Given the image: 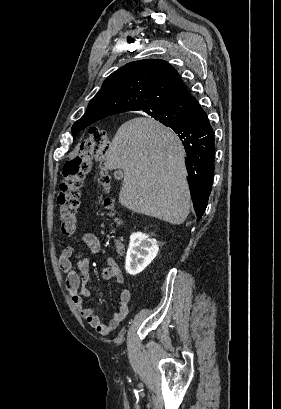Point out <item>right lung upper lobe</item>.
I'll list each match as a JSON object with an SVG mask.
<instances>
[{"mask_svg": "<svg viewBox=\"0 0 281 409\" xmlns=\"http://www.w3.org/2000/svg\"><path fill=\"white\" fill-rule=\"evenodd\" d=\"M190 97L178 72L166 61L146 59L126 64L112 73L72 128L127 111L150 112Z\"/></svg>", "mask_w": 281, "mask_h": 409, "instance_id": "right-lung-upper-lobe-1", "label": "right lung upper lobe"}]
</instances>
